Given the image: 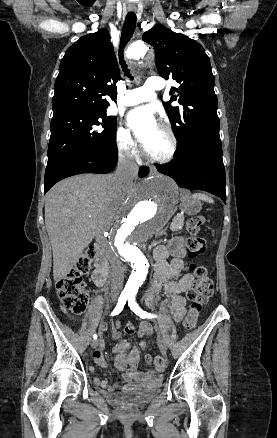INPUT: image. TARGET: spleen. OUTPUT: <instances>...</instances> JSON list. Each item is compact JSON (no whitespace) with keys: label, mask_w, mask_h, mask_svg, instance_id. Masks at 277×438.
Here are the masks:
<instances>
[{"label":"spleen","mask_w":277,"mask_h":438,"mask_svg":"<svg viewBox=\"0 0 277 438\" xmlns=\"http://www.w3.org/2000/svg\"><path fill=\"white\" fill-rule=\"evenodd\" d=\"M192 198H195V200H203V202H209V204H213L214 202L212 198H208L205 194H193Z\"/></svg>","instance_id":"3e777b00"}]
</instances>
